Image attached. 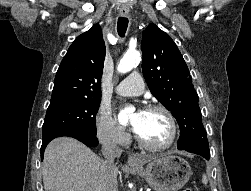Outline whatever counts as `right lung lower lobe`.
Wrapping results in <instances>:
<instances>
[{
    "label": "right lung lower lobe",
    "mask_w": 251,
    "mask_h": 191,
    "mask_svg": "<svg viewBox=\"0 0 251 191\" xmlns=\"http://www.w3.org/2000/svg\"><path fill=\"white\" fill-rule=\"evenodd\" d=\"M61 136L73 137L90 147H95L98 145V139L96 137V134H90L84 131L74 130V129L64 130V131H60L53 134L51 137L47 139L42 140V146H41V158L42 159H43L44 150L47 144L54 138L61 137Z\"/></svg>",
    "instance_id": "1"
}]
</instances>
